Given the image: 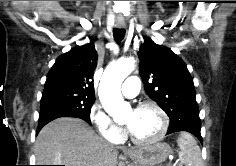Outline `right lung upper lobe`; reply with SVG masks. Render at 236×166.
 <instances>
[{
    "label": "right lung upper lobe",
    "instance_id": "cb5924a9",
    "mask_svg": "<svg viewBox=\"0 0 236 166\" xmlns=\"http://www.w3.org/2000/svg\"><path fill=\"white\" fill-rule=\"evenodd\" d=\"M97 52L93 43L76 46L59 56L47 75L43 93L63 91L94 96L93 73Z\"/></svg>",
    "mask_w": 236,
    "mask_h": 166
}]
</instances>
